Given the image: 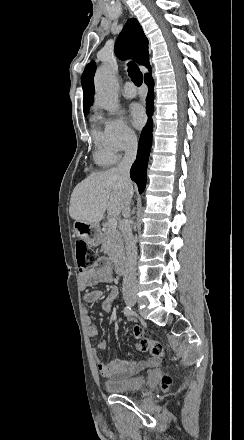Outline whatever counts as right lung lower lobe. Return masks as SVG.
Segmentation results:
<instances>
[{"mask_svg":"<svg viewBox=\"0 0 244 440\" xmlns=\"http://www.w3.org/2000/svg\"><path fill=\"white\" fill-rule=\"evenodd\" d=\"M144 82L148 86L149 91L146 98V111L148 115V121L145 127L142 130L139 145H138V153H137V159L135 163L133 164L131 170H130V177L131 179L136 182L139 193H142L145 189L146 185V174H147V164H148V158L149 153L151 149L152 144V113L154 109V82L152 79V76L150 74H146L144 77Z\"/></svg>","mask_w":244,"mask_h":440,"instance_id":"right-lung-lower-lobe-1","label":"right lung lower lobe"}]
</instances>
